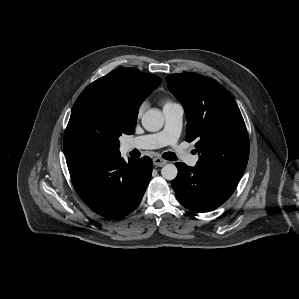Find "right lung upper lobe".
Wrapping results in <instances>:
<instances>
[{"mask_svg": "<svg viewBox=\"0 0 299 299\" xmlns=\"http://www.w3.org/2000/svg\"><path fill=\"white\" fill-rule=\"evenodd\" d=\"M160 82L161 79L153 74L120 68L88 85L83 93L95 92L118 101L125 118L136 123L141 103Z\"/></svg>", "mask_w": 299, "mask_h": 299, "instance_id": "cb5924a9", "label": "right lung upper lobe"}]
</instances>
